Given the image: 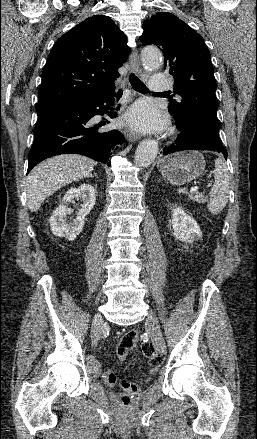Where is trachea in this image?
I'll list each match as a JSON object with an SVG mask.
<instances>
[{
  "instance_id": "obj_1",
  "label": "trachea",
  "mask_w": 257,
  "mask_h": 439,
  "mask_svg": "<svg viewBox=\"0 0 257 439\" xmlns=\"http://www.w3.org/2000/svg\"><path fill=\"white\" fill-rule=\"evenodd\" d=\"M130 83L132 87L139 92H148V88L145 84L137 77L135 74L131 73L129 76ZM122 91L119 90L118 95H121Z\"/></svg>"
}]
</instances>
